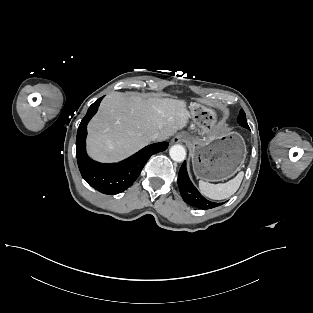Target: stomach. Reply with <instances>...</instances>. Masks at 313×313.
I'll return each instance as SVG.
<instances>
[{
	"label": "stomach",
	"mask_w": 313,
	"mask_h": 313,
	"mask_svg": "<svg viewBox=\"0 0 313 313\" xmlns=\"http://www.w3.org/2000/svg\"><path fill=\"white\" fill-rule=\"evenodd\" d=\"M190 118L197 136L188 135L193 171L205 181H223L243 165L247 150L241 135L224 132L216 124L213 109L197 102L189 106Z\"/></svg>",
	"instance_id": "stomach-1"
}]
</instances>
